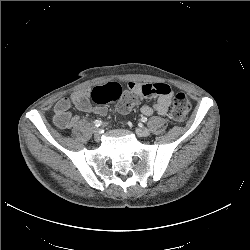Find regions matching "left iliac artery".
I'll use <instances>...</instances> for the list:
<instances>
[{
  "label": "left iliac artery",
  "instance_id": "44dca946",
  "mask_svg": "<svg viewBox=\"0 0 250 250\" xmlns=\"http://www.w3.org/2000/svg\"><path fill=\"white\" fill-rule=\"evenodd\" d=\"M141 121L145 123V122H147V118L142 117V118H141Z\"/></svg>",
  "mask_w": 250,
  "mask_h": 250
}]
</instances>
